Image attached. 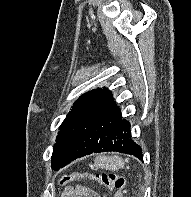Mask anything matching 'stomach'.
<instances>
[{
	"mask_svg": "<svg viewBox=\"0 0 191 197\" xmlns=\"http://www.w3.org/2000/svg\"><path fill=\"white\" fill-rule=\"evenodd\" d=\"M98 169L115 171L124 167V162L118 157L98 156L94 161Z\"/></svg>",
	"mask_w": 191,
	"mask_h": 197,
	"instance_id": "1",
	"label": "stomach"
}]
</instances>
